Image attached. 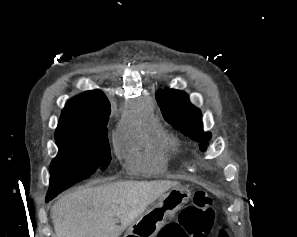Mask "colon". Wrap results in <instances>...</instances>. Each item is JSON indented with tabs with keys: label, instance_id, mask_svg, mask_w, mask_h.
Returning a JSON list of instances; mask_svg holds the SVG:
<instances>
[{
	"label": "colon",
	"instance_id": "obj_1",
	"mask_svg": "<svg viewBox=\"0 0 297 237\" xmlns=\"http://www.w3.org/2000/svg\"><path fill=\"white\" fill-rule=\"evenodd\" d=\"M215 220L212 200L203 190H197L192 203L179 214L178 220L165 225L157 237H209ZM219 237H229L220 230Z\"/></svg>",
	"mask_w": 297,
	"mask_h": 237
}]
</instances>
